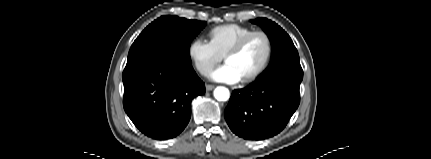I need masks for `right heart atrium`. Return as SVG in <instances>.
<instances>
[{
	"mask_svg": "<svg viewBox=\"0 0 431 159\" xmlns=\"http://www.w3.org/2000/svg\"><path fill=\"white\" fill-rule=\"evenodd\" d=\"M187 52L197 72L205 77L222 59V56L213 49L211 44L201 38L193 39L188 45Z\"/></svg>",
	"mask_w": 431,
	"mask_h": 159,
	"instance_id": "d8ad5b80",
	"label": "right heart atrium"
}]
</instances>
